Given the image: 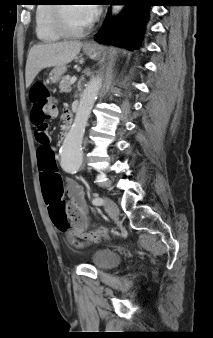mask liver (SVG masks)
<instances>
[{"label":"liver","instance_id":"1","mask_svg":"<svg viewBox=\"0 0 213 338\" xmlns=\"http://www.w3.org/2000/svg\"><path fill=\"white\" fill-rule=\"evenodd\" d=\"M82 45L80 41L34 45L28 53L26 62V88L30 87L41 70L49 67L63 66L72 62L79 54Z\"/></svg>","mask_w":213,"mask_h":338}]
</instances>
